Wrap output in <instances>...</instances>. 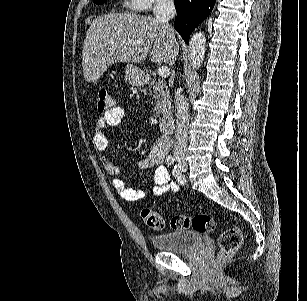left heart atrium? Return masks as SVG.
I'll return each instance as SVG.
<instances>
[{
    "label": "left heart atrium",
    "mask_w": 307,
    "mask_h": 301,
    "mask_svg": "<svg viewBox=\"0 0 307 301\" xmlns=\"http://www.w3.org/2000/svg\"><path fill=\"white\" fill-rule=\"evenodd\" d=\"M155 62H163V61H155Z\"/></svg>",
    "instance_id": "obj_1"
}]
</instances>
